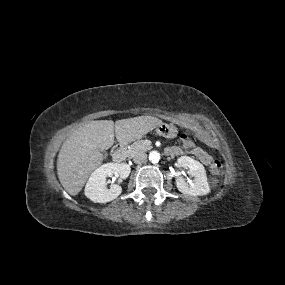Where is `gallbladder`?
<instances>
[{
	"label": "gallbladder",
	"instance_id": "1",
	"mask_svg": "<svg viewBox=\"0 0 285 285\" xmlns=\"http://www.w3.org/2000/svg\"><path fill=\"white\" fill-rule=\"evenodd\" d=\"M103 156L106 157L107 156V153L105 151H103Z\"/></svg>",
	"mask_w": 285,
	"mask_h": 285
}]
</instances>
